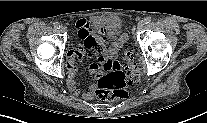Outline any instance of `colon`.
<instances>
[{
  "label": "colon",
  "mask_w": 207,
  "mask_h": 123,
  "mask_svg": "<svg viewBox=\"0 0 207 123\" xmlns=\"http://www.w3.org/2000/svg\"><path fill=\"white\" fill-rule=\"evenodd\" d=\"M102 75L95 86V95L100 100H121L127 97L132 85L142 81V75L131 53L117 60H103Z\"/></svg>",
  "instance_id": "obj_1"
}]
</instances>
